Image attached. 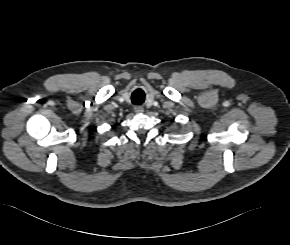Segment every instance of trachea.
Segmentation results:
<instances>
[{
	"label": "trachea",
	"mask_w": 290,
	"mask_h": 245,
	"mask_svg": "<svg viewBox=\"0 0 290 245\" xmlns=\"http://www.w3.org/2000/svg\"><path fill=\"white\" fill-rule=\"evenodd\" d=\"M143 101H144V97L143 96L142 97H140V96L134 97V95H133V97H132V102L134 104H142Z\"/></svg>",
	"instance_id": "1"
}]
</instances>
